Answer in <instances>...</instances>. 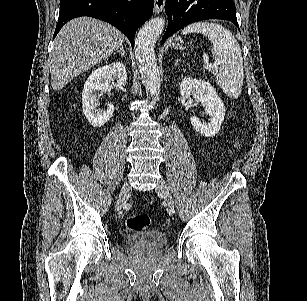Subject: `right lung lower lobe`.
Here are the masks:
<instances>
[{"instance_id": "obj_1", "label": "right lung lower lobe", "mask_w": 307, "mask_h": 301, "mask_svg": "<svg viewBox=\"0 0 307 301\" xmlns=\"http://www.w3.org/2000/svg\"><path fill=\"white\" fill-rule=\"evenodd\" d=\"M153 7L154 0H60L54 37L71 19L91 16L118 28L133 46L137 28L151 17Z\"/></svg>"}]
</instances>
